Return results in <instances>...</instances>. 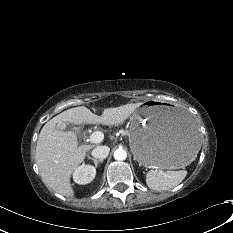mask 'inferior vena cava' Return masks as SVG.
<instances>
[{"mask_svg": "<svg viewBox=\"0 0 233 233\" xmlns=\"http://www.w3.org/2000/svg\"><path fill=\"white\" fill-rule=\"evenodd\" d=\"M109 147L108 146H97L92 150V156L97 159H105L109 154Z\"/></svg>", "mask_w": 233, "mask_h": 233, "instance_id": "1", "label": "inferior vena cava"}]
</instances>
